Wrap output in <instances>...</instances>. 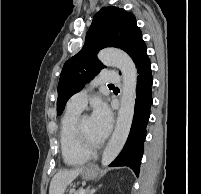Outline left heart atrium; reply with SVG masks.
<instances>
[{"label": "left heart atrium", "instance_id": "39dd6f15", "mask_svg": "<svg viewBox=\"0 0 201 194\" xmlns=\"http://www.w3.org/2000/svg\"><path fill=\"white\" fill-rule=\"evenodd\" d=\"M91 120L96 137L100 141L104 140L108 136L112 126V115L107 105L103 102L96 103Z\"/></svg>", "mask_w": 201, "mask_h": 194}]
</instances>
